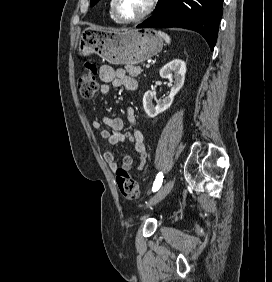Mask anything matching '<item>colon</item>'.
Returning a JSON list of instances; mask_svg holds the SVG:
<instances>
[{
    "label": "colon",
    "instance_id": "colon-1",
    "mask_svg": "<svg viewBox=\"0 0 272 282\" xmlns=\"http://www.w3.org/2000/svg\"><path fill=\"white\" fill-rule=\"evenodd\" d=\"M78 89L83 99H92L100 89V82L97 78V67L93 62H85L84 72L78 79ZM116 182L123 198L134 200L139 197L138 183L125 169L118 168L116 170Z\"/></svg>",
    "mask_w": 272,
    "mask_h": 282
}]
</instances>
